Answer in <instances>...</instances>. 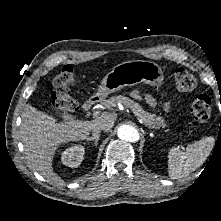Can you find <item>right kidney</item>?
Instances as JSON below:
<instances>
[{
	"instance_id": "ca27d5eb",
	"label": "right kidney",
	"mask_w": 221,
	"mask_h": 221,
	"mask_svg": "<svg viewBox=\"0 0 221 221\" xmlns=\"http://www.w3.org/2000/svg\"><path fill=\"white\" fill-rule=\"evenodd\" d=\"M85 148L82 145H75L67 148L61 157L64 165L71 168L78 167L84 159Z\"/></svg>"
}]
</instances>
